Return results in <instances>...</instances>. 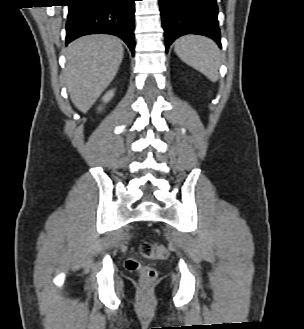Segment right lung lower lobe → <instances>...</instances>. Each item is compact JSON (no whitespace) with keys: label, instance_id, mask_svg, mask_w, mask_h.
<instances>
[{"label":"right lung lower lobe","instance_id":"right-lung-lower-lobe-1","mask_svg":"<svg viewBox=\"0 0 304 329\" xmlns=\"http://www.w3.org/2000/svg\"><path fill=\"white\" fill-rule=\"evenodd\" d=\"M66 44L96 33L120 37L134 55L135 0H68Z\"/></svg>","mask_w":304,"mask_h":329}]
</instances>
